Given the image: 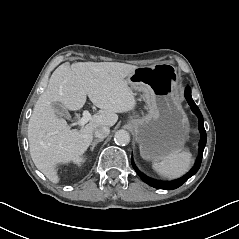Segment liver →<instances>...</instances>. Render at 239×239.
Segmentation results:
<instances>
[{
  "mask_svg": "<svg viewBox=\"0 0 239 239\" xmlns=\"http://www.w3.org/2000/svg\"><path fill=\"white\" fill-rule=\"evenodd\" d=\"M137 65L122 62H76L60 65L40 95L28 123V141L32 161L53 184L61 183L59 167L69 165L85 155L93 142L94 129L112 127L117 114L133 112L138 93L128 78ZM86 96L101 110L82 129L71 130L66 119L57 115L54 102L69 111L80 110Z\"/></svg>",
  "mask_w": 239,
  "mask_h": 239,
  "instance_id": "liver-1",
  "label": "liver"
}]
</instances>
